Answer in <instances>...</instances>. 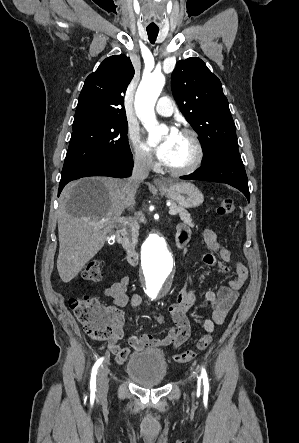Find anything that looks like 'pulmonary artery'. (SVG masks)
Returning <instances> with one entry per match:
<instances>
[{
  "instance_id": "pulmonary-artery-1",
  "label": "pulmonary artery",
  "mask_w": 299,
  "mask_h": 443,
  "mask_svg": "<svg viewBox=\"0 0 299 443\" xmlns=\"http://www.w3.org/2000/svg\"><path fill=\"white\" fill-rule=\"evenodd\" d=\"M174 110V102L167 96L161 97L156 104V112L160 115L170 116Z\"/></svg>"
}]
</instances>
